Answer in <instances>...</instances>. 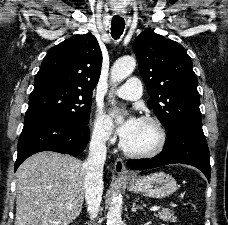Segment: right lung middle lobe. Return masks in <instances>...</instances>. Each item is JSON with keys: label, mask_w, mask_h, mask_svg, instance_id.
<instances>
[{"label": "right lung middle lobe", "mask_w": 228, "mask_h": 225, "mask_svg": "<svg viewBox=\"0 0 228 225\" xmlns=\"http://www.w3.org/2000/svg\"><path fill=\"white\" fill-rule=\"evenodd\" d=\"M92 93L61 83L34 85L25 118L56 115L83 125L89 123Z\"/></svg>", "instance_id": "1"}]
</instances>
